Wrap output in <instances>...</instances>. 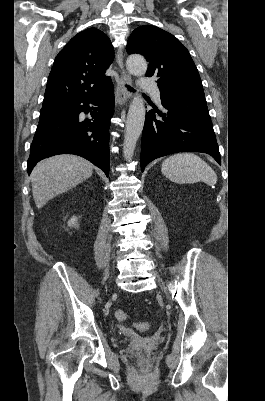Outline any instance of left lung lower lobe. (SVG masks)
<instances>
[{
  "instance_id": "obj_1",
  "label": "left lung lower lobe",
  "mask_w": 265,
  "mask_h": 401,
  "mask_svg": "<svg viewBox=\"0 0 265 401\" xmlns=\"http://www.w3.org/2000/svg\"><path fill=\"white\" fill-rule=\"evenodd\" d=\"M165 113L150 110L141 142V170L152 160L177 152L220 153L204 96L160 94ZM154 112L161 116L156 119Z\"/></svg>"
}]
</instances>
